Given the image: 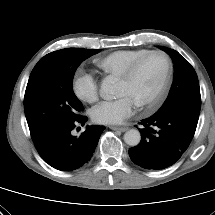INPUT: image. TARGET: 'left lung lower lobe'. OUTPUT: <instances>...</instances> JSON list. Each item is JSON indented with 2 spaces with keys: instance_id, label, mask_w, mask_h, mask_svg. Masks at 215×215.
Instances as JSON below:
<instances>
[{
  "instance_id": "1",
  "label": "left lung lower lobe",
  "mask_w": 215,
  "mask_h": 215,
  "mask_svg": "<svg viewBox=\"0 0 215 215\" xmlns=\"http://www.w3.org/2000/svg\"><path fill=\"white\" fill-rule=\"evenodd\" d=\"M198 120L184 113H155L140 124L141 142L130 148L131 160L144 169L159 170L173 165L188 148Z\"/></svg>"
}]
</instances>
